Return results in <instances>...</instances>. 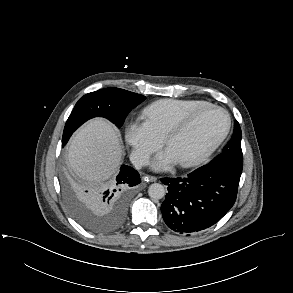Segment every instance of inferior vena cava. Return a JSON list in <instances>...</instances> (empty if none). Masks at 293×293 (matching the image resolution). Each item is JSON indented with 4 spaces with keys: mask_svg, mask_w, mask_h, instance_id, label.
I'll list each match as a JSON object with an SVG mask.
<instances>
[{
    "mask_svg": "<svg viewBox=\"0 0 293 293\" xmlns=\"http://www.w3.org/2000/svg\"><path fill=\"white\" fill-rule=\"evenodd\" d=\"M130 160L137 169H141L143 166L148 165L149 157L139 152H133Z\"/></svg>",
    "mask_w": 293,
    "mask_h": 293,
    "instance_id": "inferior-vena-cava-1",
    "label": "inferior vena cava"
}]
</instances>
